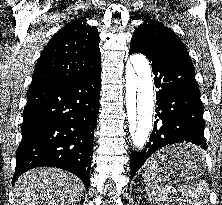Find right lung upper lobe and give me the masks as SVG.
Segmentation results:
<instances>
[{
	"instance_id": "obj_1",
	"label": "right lung upper lobe",
	"mask_w": 222,
	"mask_h": 205,
	"mask_svg": "<svg viewBox=\"0 0 222 205\" xmlns=\"http://www.w3.org/2000/svg\"><path fill=\"white\" fill-rule=\"evenodd\" d=\"M99 33L86 18L71 20L47 43L33 73L30 87L87 76L101 66Z\"/></svg>"
}]
</instances>
